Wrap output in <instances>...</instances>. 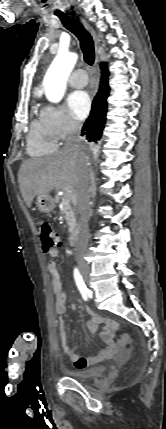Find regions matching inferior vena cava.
Here are the masks:
<instances>
[{
    "instance_id": "602c4592",
    "label": "inferior vena cava",
    "mask_w": 166,
    "mask_h": 429,
    "mask_svg": "<svg viewBox=\"0 0 166 429\" xmlns=\"http://www.w3.org/2000/svg\"><path fill=\"white\" fill-rule=\"evenodd\" d=\"M82 125L76 121H69L67 125V138L64 145L65 150H70L80 154V131ZM90 169L87 157L82 158V165L79 171L77 183L78 211L81 219V233L75 247V256L79 261L83 260L88 244V221L90 218V190H89Z\"/></svg>"
}]
</instances>
